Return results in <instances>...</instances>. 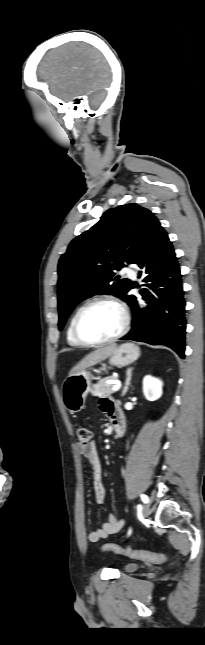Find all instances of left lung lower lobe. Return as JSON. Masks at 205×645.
Masks as SVG:
<instances>
[{
	"label": "left lung lower lobe",
	"instance_id": "0a47b994",
	"mask_svg": "<svg viewBox=\"0 0 205 645\" xmlns=\"http://www.w3.org/2000/svg\"><path fill=\"white\" fill-rule=\"evenodd\" d=\"M141 269L139 277L149 290H141L147 306L129 295L124 298L132 308L133 327L121 340H134L172 348L185 356V300L180 266L166 231L158 220L151 222L139 242L132 260Z\"/></svg>",
	"mask_w": 205,
	"mask_h": 645
}]
</instances>
